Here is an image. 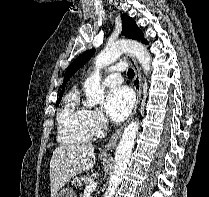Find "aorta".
Segmentation results:
<instances>
[{
    "label": "aorta",
    "mask_w": 209,
    "mask_h": 197,
    "mask_svg": "<svg viewBox=\"0 0 209 197\" xmlns=\"http://www.w3.org/2000/svg\"><path fill=\"white\" fill-rule=\"evenodd\" d=\"M125 52L131 53L139 61L145 73L150 71L151 56L141 43L132 40H120L108 45L96 56L94 71L84 83L88 107L95 106L104 98V89L100 85V70L115 62ZM138 130V120L131 122L125 128L116 148L114 171L110 176L109 186L104 197L114 196L127 169Z\"/></svg>",
    "instance_id": "aorta-1"
}]
</instances>
